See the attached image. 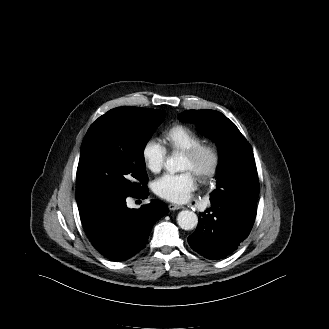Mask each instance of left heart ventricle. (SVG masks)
I'll list each match as a JSON object with an SVG mask.
<instances>
[{
	"mask_svg": "<svg viewBox=\"0 0 329 329\" xmlns=\"http://www.w3.org/2000/svg\"><path fill=\"white\" fill-rule=\"evenodd\" d=\"M207 162H208V160L206 158H204L200 162H193L192 160H190L188 157H186L184 155L181 169L182 170H190L195 174L198 169L206 166Z\"/></svg>",
	"mask_w": 329,
	"mask_h": 329,
	"instance_id": "obj_1",
	"label": "left heart ventricle"
}]
</instances>
